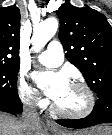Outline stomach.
Here are the masks:
<instances>
[{"instance_id": "0dacf381", "label": "stomach", "mask_w": 112, "mask_h": 135, "mask_svg": "<svg viewBox=\"0 0 112 135\" xmlns=\"http://www.w3.org/2000/svg\"><path fill=\"white\" fill-rule=\"evenodd\" d=\"M112 128L109 126H99L93 128L90 131H83V132H58L56 135H111Z\"/></svg>"}]
</instances>
